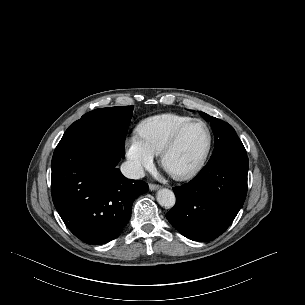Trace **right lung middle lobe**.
<instances>
[{"instance_id": "obj_1", "label": "right lung middle lobe", "mask_w": 305, "mask_h": 305, "mask_svg": "<svg viewBox=\"0 0 305 305\" xmlns=\"http://www.w3.org/2000/svg\"><path fill=\"white\" fill-rule=\"evenodd\" d=\"M133 106L100 108L84 114L65 131L56 148L88 139L107 140L125 155V138L132 118Z\"/></svg>"}]
</instances>
